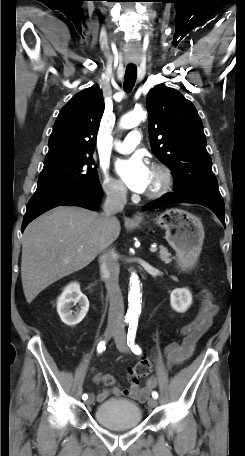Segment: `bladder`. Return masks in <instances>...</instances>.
<instances>
[{
    "label": "bladder",
    "instance_id": "bladder-1",
    "mask_svg": "<svg viewBox=\"0 0 245 456\" xmlns=\"http://www.w3.org/2000/svg\"><path fill=\"white\" fill-rule=\"evenodd\" d=\"M96 421L108 429L127 430L140 425L142 411L138 404L133 401L112 398L96 407L94 413Z\"/></svg>",
    "mask_w": 245,
    "mask_h": 456
}]
</instances>
